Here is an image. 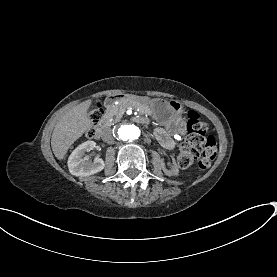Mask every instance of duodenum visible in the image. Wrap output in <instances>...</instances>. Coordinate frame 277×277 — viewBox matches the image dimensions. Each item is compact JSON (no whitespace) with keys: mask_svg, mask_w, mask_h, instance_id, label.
Returning <instances> with one entry per match:
<instances>
[{"mask_svg":"<svg viewBox=\"0 0 277 277\" xmlns=\"http://www.w3.org/2000/svg\"><path fill=\"white\" fill-rule=\"evenodd\" d=\"M126 99H128V96L125 94H116V95H112V96L108 97L105 101L106 112L108 110H110L115 105L116 102L126 100ZM141 120L143 121V119H141ZM105 128H106L105 120H102L97 125V128H96V137L97 138H99L103 134Z\"/></svg>","mask_w":277,"mask_h":277,"instance_id":"obj_1","label":"duodenum"}]
</instances>
